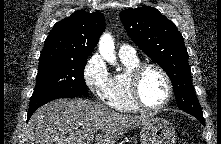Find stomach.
Returning <instances> with one entry per match:
<instances>
[{"instance_id":"stomach-1","label":"stomach","mask_w":221,"mask_h":144,"mask_svg":"<svg viewBox=\"0 0 221 144\" xmlns=\"http://www.w3.org/2000/svg\"><path fill=\"white\" fill-rule=\"evenodd\" d=\"M141 144H174L175 129L172 124L162 117H152L141 127Z\"/></svg>"}]
</instances>
